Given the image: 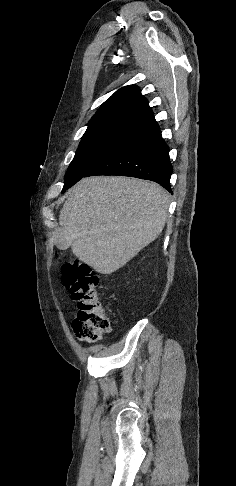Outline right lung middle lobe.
<instances>
[{
    "instance_id": "obj_1",
    "label": "right lung middle lobe",
    "mask_w": 236,
    "mask_h": 486,
    "mask_svg": "<svg viewBox=\"0 0 236 486\" xmlns=\"http://www.w3.org/2000/svg\"><path fill=\"white\" fill-rule=\"evenodd\" d=\"M139 129L140 125H114L85 132L67 170L62 193L126 144Z\"/></svg>"
}]
</instances>
